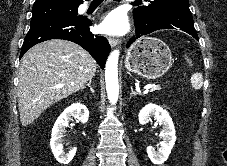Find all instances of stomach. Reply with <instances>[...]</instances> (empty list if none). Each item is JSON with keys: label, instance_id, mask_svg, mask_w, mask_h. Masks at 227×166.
Instances as JSON below:
<instances>
[{"label": "stomach", "instance_id": "0dacf381", "mask_svg": "<svg viewBox=\"0 0 227 166\" xmlns=\"http://www.w3.org/2000/svg\"><path fill=\"white\" fill-rule=\"evenodd\" d=\"M172 65L169 47L155 37H144L135 42L127 52L125 67L147 79L164 75Z\"/></svg>", "mask_w": 227, "mask_h": 166}]
</instances>
